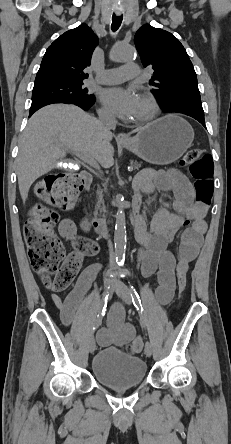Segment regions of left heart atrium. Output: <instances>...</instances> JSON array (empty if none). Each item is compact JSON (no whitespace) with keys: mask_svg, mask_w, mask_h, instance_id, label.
<instances>
[{"mask_svg":"<svg viewBox=\"0 0 231 444\" xmlns=\"http://www.w3.org/2000/svg\"><path fill=\"white\" fill-rule=\"evenodd\" d=\"M139 98L134 90L122 87L107 88L100 94V100L104 106L121 118L134 116Z\"/></svg>","mask_w":231,"mask_h":444,"instance_id":"left-heart-atrium-1","label":"left heart atrium"}]
</instances>
